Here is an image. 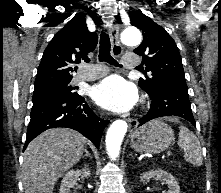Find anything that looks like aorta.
Masks as SVG:
<instances>
[{"label":"aorta","mask_w":221,"mask_h":193,"mask_svg":"<svg viewBox=\"0 0 221 193\" xmlns=\"http://www.w3.org/2000/svg\"><path fill=\"white\" fill-rule=\"evenodd\" d=\"M141 33L135 27L126 28L121 35L123 44L136 46L141 43ZM128 124L124 120H116L112 123L106 134V149L112 159H116L120 153V147L127 132Z\"/></svg>","instance_id":"1"}]
</instances>
